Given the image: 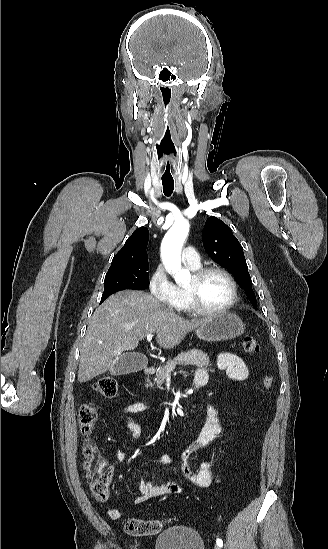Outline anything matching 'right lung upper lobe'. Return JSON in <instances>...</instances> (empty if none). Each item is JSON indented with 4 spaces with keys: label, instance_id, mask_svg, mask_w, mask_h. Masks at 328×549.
Wrapping results in <instances>:
<instances>
[{
    "label": "right lung upper lobe",
    "instance_id": "obj_1",
    "mask_svg": "<svg viewBox=\"0 0 328 549\" xmlns=\"http://www.w3.org/2000/svg\"><path fill=\"white\" fill-rule=\"evenodd\" d=\"M148 240L149 231L146 227L136 229L127 239L124 247L114 256L108 271L134 262L148 260L146 252Z\"/></svg>",
    "mask_w": 328,
    "mask_h": 549
}]
</instances>
